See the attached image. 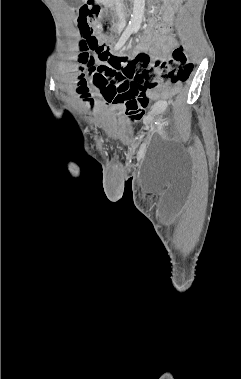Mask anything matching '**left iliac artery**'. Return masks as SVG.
<instances>
[{
    "label": "left iliac artery",
    "mask_w": 241,
    "mask_h": 379,
    "mask_svg": "<svg viewBox=\"0 0 241 379\" xmlns=\"http://www.w3.org/2000/svg\"><path fill=\"white\" fill-rule=\"evenodd\" d=\"M134 31L136 32L137 29H135ZM156 124H157V126H158V130L161 132L162 124L160 123V121H157Z\"/></svg>",
    "instance_id": "obj_1"
}]
</instances>
